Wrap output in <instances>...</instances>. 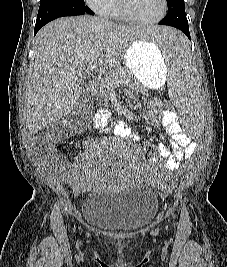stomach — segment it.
Returning a JSON list of instances; mask_svg holds the SVG:
<instances>
[{
  "instance_id": "obj_1",
  "label": "stomach",
  "mask_w": 227,
  "mask_h": 267,
  "mask_svg": "<svg viewBox=\"0 0 227 267\" xmlns=\"http://www.w3.org/2000/svg\"><path fill=\"white\" fill-rule=\"evenodd\" d=\"M155 43L135 40L127 48L124 65L144 86L157 89L162 86L168 73L164 55H156Z\"/></svg>"
}]
</instances>
